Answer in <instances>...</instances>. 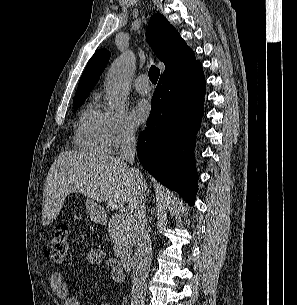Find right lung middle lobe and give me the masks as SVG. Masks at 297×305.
Listing matches in <instances>:
<instances>
[{
	"label": "right lung middle lobe",
	"instance_id": "dd1d6c3e",
	"mask_svg": "<svg viewBox=\"0 0 297 305\" xmlns=\"http://www.w3.org/2000/svg\"><path fill=\"white\" fill-rule=\"evenodd\" d=\"M84 100H85V98H82V99H78V100L73 101V103H74V109H76V108H78L80 105H82Z\"/></svg>",
	"mask_w": 297,
	"mask_h": 305
}]
</instances>
